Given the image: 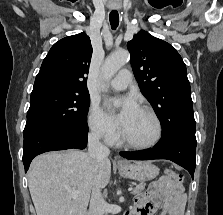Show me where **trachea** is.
<instances>
[{
    "label": "trachea",
    "instance_id": "trachea-1",
    "mask_svg": "<svg viewBox=\"0 0 223 215\" xmlns=\"http://www.w3.org/2000/svg\"><path fill=\"white\" fill-rule=\"evenodd\" d=\"M109 20H110L111 28L113 30H116V28L118 27V24H119V16H118V12L116 10H114L110 13Z\"/></svg>",
    "mask_w": 223,
    "mask_h": 215
}]
</instances>
